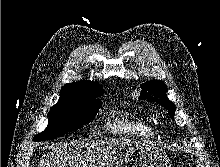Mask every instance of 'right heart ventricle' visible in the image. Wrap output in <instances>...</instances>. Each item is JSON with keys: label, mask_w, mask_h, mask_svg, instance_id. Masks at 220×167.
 <instances>
[{"label": "right heart ventricle", "mask_w": 220, "mask_h": 167, "mask_svg": "<svg viewBox=\"0 0 220 167\" xmlns=\"http://www.w3.org/2000/svg\"><path fill=\"white\" fill-rule=\"evenodd\" d=\"M106 129L113 135L137 139L152 138L156 133L151 121L136 117L128 111L121 112L109 119Z\"/></svg>", "instance_id": "e07e8e85"}]
</instances>
